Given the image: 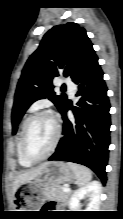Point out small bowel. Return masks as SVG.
<instances>
[{"label":"small bowel","mask_w":123,"mask_h":219,"mask_svg":"<svg viewBox=\"0 0 123 219\" xmlns=\"http://www.w3.org/2000/svg\"><path fill=\"white\" fill-rule=\"evenodd\" d=\"M50 208H51V209H54V208H55V206H54L53 204H51V205H50Z\"/></svg>","instance_id":"c3829d8e"}]
</instances>
